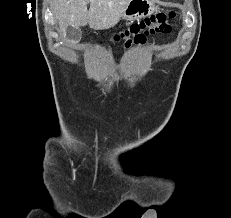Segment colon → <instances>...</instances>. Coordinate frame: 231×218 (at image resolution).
Returning a JSON list of instances; mask_svg holds the SVG:
<instances>
[{"mask_svg":"<svg viewBox=\"0 0 231 218\" xmlns=\"http://www.w3.org/2000/svg\"><path fill=\"white\" fill-rule=\"evenodd\" d=\"M174 12L154 14L144 20L133 23L124 31L113 37L115 42H121L125 47L144 43L146 38L155 34H167L171 31L170 20Z\"/></svg>","mask_w":231,"mask_h":218,"instance_id":"colon-1","label":"colon"}]
</instances>
